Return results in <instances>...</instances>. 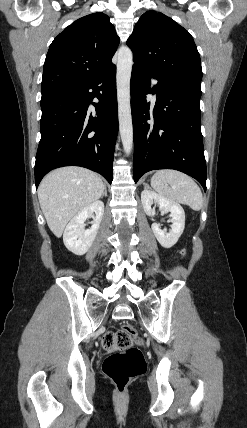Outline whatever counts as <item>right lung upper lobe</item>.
I'll return each instance as SVG.
<instances>
[{
  "label": "right lung upper lobe",
  "mask_w": 247,
  "mask_h": 428,
  "mask_svg": "<svg viewBox=\"0 0 247 428\" xmlns=\"http://www.w3.org/2000/svg\"><path fill=\"white\" fill-rule=\"evenodd\" d=\"M119 41L109 17L102 12L73 22L49 47L42 94L79 88L109 69Z\"/></svg>",
  "instance_id": "cb5924a9"
}]
</instances>
